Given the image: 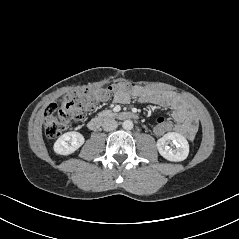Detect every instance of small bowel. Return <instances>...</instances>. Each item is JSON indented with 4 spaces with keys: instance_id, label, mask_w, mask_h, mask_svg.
Instances as JSON below:
<instances>
[{
    "instance_id": "obj_1",
    "label": "small bowel",
    "mask_w": 239,
    "mask_h": 239,
    "mask_svg": "<svg viewBox=\"0 0 239 239\" xmlns=\"http://www.w3.org/2000/svg\"><path fill=\"white\" fill-rule=\"evenodd\" d=\"M131 96L138 98L141 103H151L172 110L174 120L173 130L192 139L199 127V121L191 108L174 93L144 86H134L129 92L119 91L115 93L113 100L119 104H126Z\"/></svg>"
}]
</instances>
